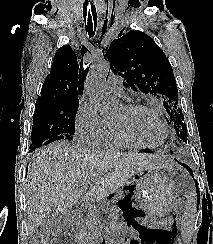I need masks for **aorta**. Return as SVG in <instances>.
<instances>
[{
    "mask_svg": "<svg viewBox=\"0 0 213 244\" xmlns=\"http://www.w3.org/2000/svg\"><path fill=\"white\" fill-rule=\"evenodd\" d=\"M109 69V62L104 59H100L91 65L87 74V93L90 101L96 107L100 115L106 118L115 115L120 108L119 100L113 98L104 87V81L107 78ZM118 212V207H114L111 211L112 244H124Z\"/></svg>",
    "mask_w": 213,
    "mask_h": 244,
    "instance_id": "obj_1",
    "label": "aorta"
}]
</instances>
